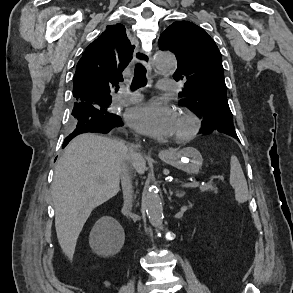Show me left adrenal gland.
Segmentation results:
<instances>
[{
	"label": "left adrenal gland",
	"instance_id": "left-adrenal-gland-1",
	"mask_svg": "<svg viewBox=\"0 0 293 293\" xmlns=\"http://www.w3.org/2000/svg\"><path fill=\"white\" fill-rule=\"evenodd\" d=\"M170 194L172 195L173 194V192H170ZM184 192H179V191H176V196L177 197H179V198H181V197H183L184 196Z\"/></svg>",
	"mask_w": 293,
	"mask_h": 293
}]
</instances>
